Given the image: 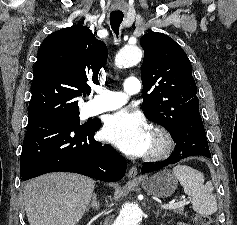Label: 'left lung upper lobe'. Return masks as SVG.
Segmentation results:
<instances>
[{
    "mask_svg": "<svg viewBox=\"0 0 237 225\" xmlns=\"http://www.w3.org/2000/svg\"><path fill=\"white\" fill-rule=\"evenodd\" d=\"M141 46L144 49L141 109L149 120L171 132L189 115L199 112L191 63L180 45L163 33L145 34Z\"/></svg>",
    "mask_w": 237,
    "mask_h": 225,
    "instance_id": "obj_1",
    "label": "left lung upper lobe"
}]
</instances>
